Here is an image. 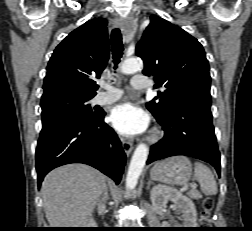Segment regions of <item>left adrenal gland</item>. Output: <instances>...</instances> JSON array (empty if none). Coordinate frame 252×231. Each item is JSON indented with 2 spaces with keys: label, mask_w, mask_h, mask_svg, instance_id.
I'll use <instances>...</instances> for the list:
<instances>
[{
  "label": "left adrenal gland",
  "mask_w": 252,
  "mask_h": 231,
  "mask_svg": "<svg viewBox=\"0 0 252 231\" xmlns=\"http://www.w3.org/2000/svg\"><path fill=\"white\" fill-rule=\"evenodd\" d=\"M151 184H153V182H152V180H151V179H149V180H148V184H147V189H149V188H150V185H151Z\"/></svg>",
  "instance_id": "a2214340"
}]
</instances>
